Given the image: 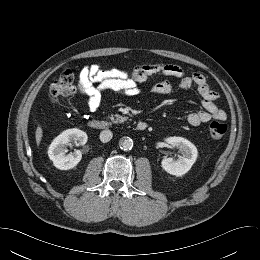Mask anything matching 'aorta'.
Instances as JSON below:
<instances>
[{"label": "aorta", "mask_w": 260, "mask_h": 260, "mask_svg": "<svg viewBox=\"0 0 260 260\" xmlns=\"http://www.w3.org/2000/svg\"><path fill=\"white\" fill-rule=\"evenodd\" d=\"M119 146L124 151H129L133 148V140L129 137H124L119 141Z\"/></svg>", "instance_id": "762f6f07"}]
</instances>
